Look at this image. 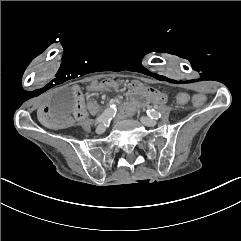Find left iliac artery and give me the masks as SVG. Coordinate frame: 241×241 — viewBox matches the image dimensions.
Here are the masks:
<instances>
[{
	"label": "left iliac artery",
	"mask_w": 241,
	"mask_h": 241,
	"mask_svg": "<svg viewBox=\"0 0 241 241\" xmlns=\"http://www.w3.org/2000/svg\"><path fill=\"white\" fill-rule=\"evenodd\" d=\"M147 115L149 117H151L152 119H158L161 117V114L159 112H157L156 110L154 109H148L147 110Z\"/></svg>",
	"instance_id": "1"
}]
</instances>
